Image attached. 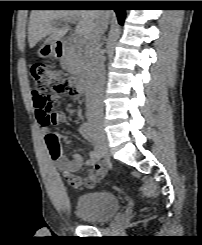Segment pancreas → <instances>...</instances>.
Returning a JSON list of instances; mask_svg holds the SVG:
<instances>
[{"label":"pancreas","mask_w":202,"mask_h":245,"mask_svg":"<svg viewBox=\"0 0 202 245\" xmlns=\"http://www.w3.org/2000/svg\"><path fill=\"white\" fill-rule=\"evenodd\" d=\"M61 65L69 74L73 76L82 74L85 64L81 47L76 44L69 46L61 60Z\"/></svg>","instance_id":"cf45deb5"}]
</instances>
